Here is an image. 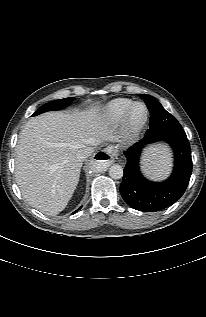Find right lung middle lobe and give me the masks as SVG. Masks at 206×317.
<instances>
[{
  "instance_id": "right-lung-middle-lobe-1",
  "label": "right lung middle lobe",
  "mask_w": 206,
  "mask_h": 317,
  "mask_svg": "<svg viewBox=\"0 0 206 317\" xmlns=\"http://www.w3.org/2000/svg\"><path fill=\"white\" fill-rule=\"evenodd\" d=\"M73 100V97H69L46 103L42 105L40 108H38L32 116H36L47 111L62 109L68 106Z\"/></svg>"
}]
</instances>
